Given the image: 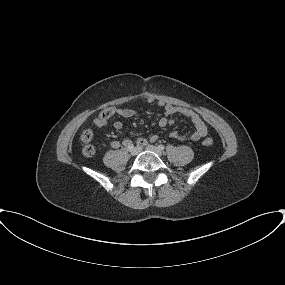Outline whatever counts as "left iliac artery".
<instances>
[{
	"label": "left iliac artery",
	"instance_id": "left-iliac-artery-1",
	"mask_svg": "<svg viewBox=\"0 0 285 285\" xmlns=\"http://www.w3.org/2000/svg\"><path fill=\"white\" fill-rule=\"evenodd\" d=\"M158 148H159V150H164V145H162V144H160V145H158Z\"/></svg>",
	"mask_w": 285,
	"mask_h": 285
}]
</instances>
